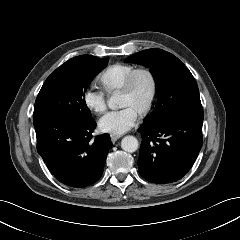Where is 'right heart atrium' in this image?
<instances>
[{"label":"right heart atrium","instance_id":"right-heart-atrium-1","mask_svg":"<svg viewBox=\"0 0 240 240\" xmlns=\"http://www.w3.org/2000/svg\"><path fill=\"white\" fill-rule=\"evenodd\" d=\"M85 105L95 113H102L106 109V95L102 90L89 88L83 95Z\"/></svg>","mask_w":240,"mask_h":240}]
</instances>
